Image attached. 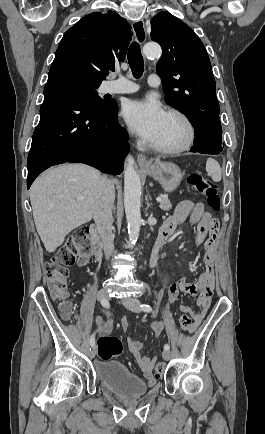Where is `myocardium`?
<instances>
[{"mask_svg": "<svg viewBox=\"0 0 265 434\" xmlns=\"http://www.w3.org/2000/svg\"><path fill=\"white\" fill-rule=\"evenodd\" d=\"M166 116L176 118L181 122L184 129V136L182 141L170 148H162L157 147L153 144L150 145V148L157 154L165 155V156H176L184 153L185 151L189 150L191 146L193 145L194 139H195V128L190 120V118L181 110L177 108H170Z\"/></svg>", "mask_w": 265, "mask_h": 434, "instance_id": "1", "label": "myocardium"}]
</instances>
